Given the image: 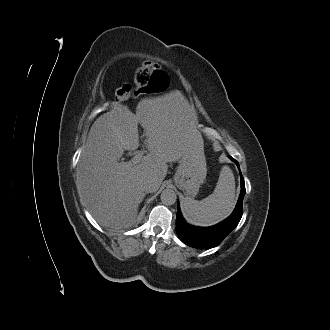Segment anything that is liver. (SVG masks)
I'll use <instances>...</instances> for the list:
<instances>
[{
	"label": "liver",
	"instance_id": "6515ba94",
	"mask_svg": "<svg viewBox=\"0 0 330 330\" xmlns=\"http://www.w3.org/2000/svg\"><path fill=\"white\" fill-rule=\"evenodd\" d=\"M138 123L145 132L149 154L140 163L119 162L124 150L139 147ZM203 149L194 123V109L172 98L144 99L136 114L111 110L93 123L77 170V188L94 219L104 227L121 229L134 223L145 197L142 182L153 178L160 187L167 163Z\"/></svg>",
	"mask_w": 330,
	"mask_h": 330
}]
</instances>
